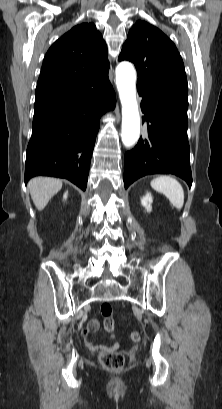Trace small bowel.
I'll use <instances>...</instances> for the list:
<instances>
[{
  "instance_id": "small-bowel-1",
  "label": "small bowel",
  "mask_w": 222,
  "mask_h": 409,
  "mask_svg": "<svg viewBox=\"0 0 222 409\" xmlns=\"http://www.w3.org/2000/svg\"><path fill=\"white\" fill-rule=\"evenodd\" d=\"M98 329H99V322H98L97 320H95V319L90 320L89 323H88V326H87V332L93 333V332H96ZM88 347H89L90 349H93V350H96V349H108L107 347L101 346V345H99V344H97V343H95V342H92V341L88 342ZM117 347H118V343H117V342H114V343L111 345L110 348L114 349V348H117Z\"/></svg>"
}]
</instances>
